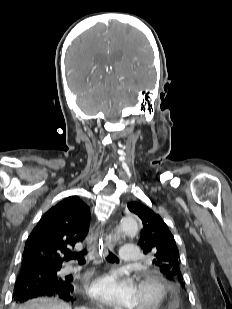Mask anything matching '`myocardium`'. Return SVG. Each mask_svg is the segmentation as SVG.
Returning <instances> with one entry per match:
<instances>
[{"mask_svg":"<svg viewBox=\"0 0 232 309\" xmlns=\"http://www.w3.org/2000/svg\"><path fill=\"white\" fill-rule=\"evenodd\" d=\"M150 286L154 292L152 302L141 309H162L169 296L166 283L156 274L142 272L139 276L138 287Z\"/></svg>","mask_w":232,"mask_h":309,"instance_id":"f54148a6","label":"myocardium"}]
</instances>
